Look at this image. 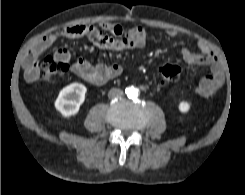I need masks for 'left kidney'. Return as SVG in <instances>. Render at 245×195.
Segmentation results:
<instances>
[{
	"label": "left kidney",
	"mask_w": 245,
	"mask_h": 195,
	"mask_svg": "<svg viewBox=\"0 0 245 195\" xmlns=\"http://www.w3.org/2000/svg\"><path fill=\"white\" fill-rule=\"evenodd\" d=\"M178 109L182 113H187L190 109V104L186 101H181L178 105Z\"/></svg>",
	"instance_id": "5707ae66"
}]
</instances>
